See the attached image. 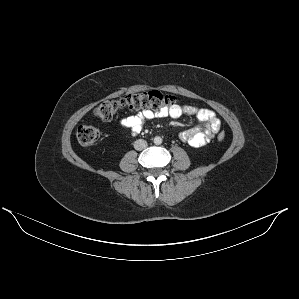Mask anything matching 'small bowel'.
Returning <instances> with one entry per match:
<instances>
[{
  "label": "small bowel",
  "instance_id": "c3829d8e",
  "mask_svg": "<svg viewBox=\"0 0 299 299\" xmlns=\"http://www.w3.org/2000/svg\"><path fill=\"white\" fill-rule=\"evenodd\" d=\"M190 115L197 118L198 125L183 131L180 139L192 147H201L209 143L220 129V120L212 110L192 105H173L161 110H143L135 115L125 116L118 120V125L132 134H138L146 121L170 116L179 118Z\"/></svg>",
  "mask_w": 299,
  "mask_h": 299
}]
</instances>
